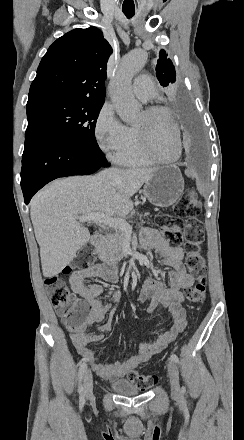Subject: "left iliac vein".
Masks as SVG:
<instances>
[{
	"label": "left iliac vein",
	"instance_id": "4c4485c4",
	"mask_svg": "<svg viewBox=\"0 0 244 440\" xmlns=\"http://www.w3.org/2000/svg\"><path fill=\"white\" fill-rule=\"evenodd\" d=\"M168 373L170 377L171 395L178 401L181 400V388L179 384V370L174 361L168 360Z\"/></svg>",
	"mask_w": 244,
	"mask_h": 440
}]
</instances>
